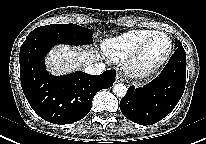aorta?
I'll return each instance as SVG.
<instances>
[{"instance_id": "1", "label": "aorta", "mask_w": 206, "mask_h": 144, "mask_svg": "<svg viewBox=\"0 0 206 144\" xmlns=\"http://www.w3.org/2000/svg\"><path fill=\"white\" fill-rule=\"evenodd\" d=\"M113 93L118 97H124L127 93V87L123 83L115 84L113 87Z\"/></svg>"}]
</instances>
